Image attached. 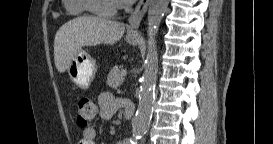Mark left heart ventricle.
<instances>
[{
    "mask_svg": "<svg viewBox=\"0 0 273 144\" xmlns=\"http://www.w3.org/2000/svg\"><path fill=\"white\" fill-rule=\"evenodd\" d=\"M99 5L103 8L111 7L114 4L113 0H99Z\"/></svg>",
    "mask_w": 273,
    "mask_h": 144,
    "instance_id": "1",
    "label": "left heart ventricle"
}]
</instances>
